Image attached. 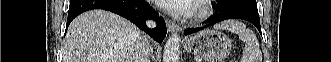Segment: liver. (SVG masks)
Returning a JSON list of instances; mask_svg holds the SVG:
<instances>
[{
  "label": "liver",
  "instance_id": "6515ba94",
  "mask_svg": "<svg viewBox=\"0 0 331 62\" xmlns=\"http://www.w3.org/2000/svg\"><path fill=\"white\" fill-rule=\"evenodd\" d=\"M140 30L105 10H91L70 24L63 47V62H134Z\"/></svg>",
  "mask_w": 331,
  "mask_h": 62
}]
</instances>
